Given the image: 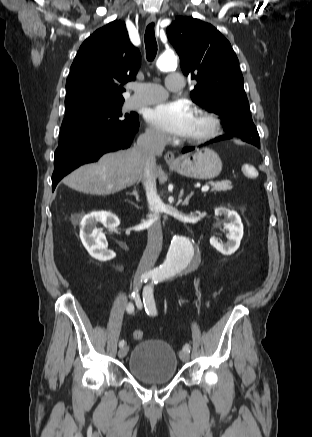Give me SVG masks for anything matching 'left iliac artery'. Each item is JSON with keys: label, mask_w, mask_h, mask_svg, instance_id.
<instances>
[{"label": "left iliac artery", "mask_w": 312, "mask_h": 437, "mask_svg": "<svg viewBox=\"0 0 312 437\" xmlns=\"http://www.w3.org/2000/svg\"><path fill=\"white\" fill-rule=\"evenodd\" d=\"M158 281H159V279L157 277H153L152 283L145 286L144 290H143V302H144V306H145V309H146V312L148 313V315H156L157 314V309H156L155 300H154V296H153V283L157 284ZM183 350L190 352L189 344H185L183 346Z\"/></svg>", "instance_id": "left-iliac-artery-1"}]
</instances>
